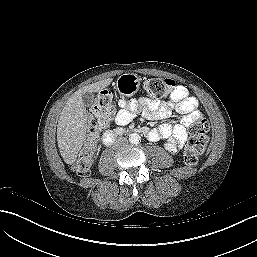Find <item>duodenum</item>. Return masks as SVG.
<instances>
[{
  "instance_id": "duodenum-1",
  "label": "duodenum",
  "mask_w": 257,
  "mask_h": 257,
  "mask_svg": "<svg viewBox=\"0 0 257 257\" xmlns=\"http://www.w3.org/2000/svg\"><path fill=\"white\" fill-rule=\"evenodd\" d=\"M125 132V129L122 127H116L114 129L108 130L107 132L104 133L102 141L103 144L106 146L111 145L115 139L122 135ZM135 132L143 134V135H149L150 131L147 127H140L135 130Z\"/></svg>"
}]
</instances>
